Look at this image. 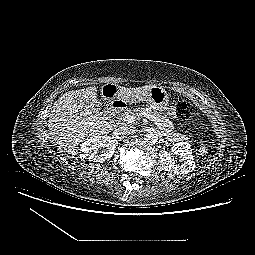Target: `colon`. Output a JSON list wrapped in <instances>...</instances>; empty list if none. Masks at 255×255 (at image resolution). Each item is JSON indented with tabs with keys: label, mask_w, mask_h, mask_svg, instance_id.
<instances>
[{
	"label": "colon",
	"mask_w": 255,
	"mask_h": 255,
	"mask_svg": "<svg viewBox=\"0 0 255 255\" xmlns=\"http://www.w3.org/2000/svg\"><path fill=\"white\" fill-rule=\"evenodd\" d=\"M174 113L178 118L185 120V119H188L190 115L192 114V109L188 103L180 102L175 105Z\"/></svg>",
	"instance_id": "5ec220e1"
}]
</instances>
